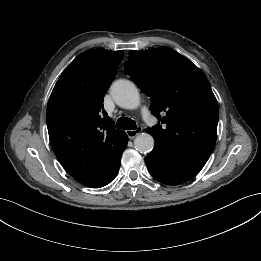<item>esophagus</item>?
<instances>
[{"instance_id":"esophagus-1","label":"esophagus","mask_w":261,"mask_h":261,"mask_svg":"<svg viewBox=\"0 0 261 261\" xmlns=\"http://www.w3.org/2000/svg\"><path fill=\"white\" fill-rule=\"evenodd\" d=\"M142 132V127H137L134 130H126V134L129 138H134Z\"/></svg>"}]
</instances>
